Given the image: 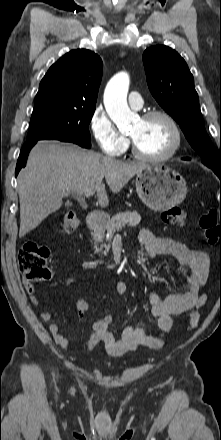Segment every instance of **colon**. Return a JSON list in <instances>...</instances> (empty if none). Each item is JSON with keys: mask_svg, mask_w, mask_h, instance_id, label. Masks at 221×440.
<instances>
[{"mask_svg": "<svg viewBox=\"0 0 221 440\" xmlns=\"http://www.w3.org/2000/svg\"><path fill=\"white\" fill-rule=\"evenodd\" d=\"M161 219L164 224L170 226H181L185 220V212L179 207H172L162 212ZM81 226V218L74 212H66L63 216L62 227L65 232H72ZM200 227L208 244H221V221L217 222L211 214L200 219ZM50 250L34 241H27L18 254V267L29 283H39L51 277V270L47 265ZM77 312L85 314L89 309L86 300H79L76 304ZM104 324H113L114 314L105 312L103 314Z\"/></svg>", "mask_w": 221, "mask_h": 440, "instance_id": "1", "label": "colon"}]
</instances>
